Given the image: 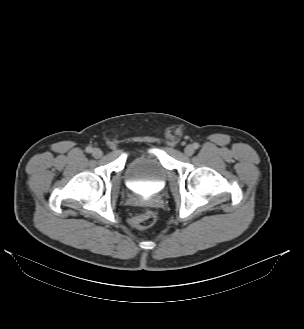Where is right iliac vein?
<instances>
[{
    "label": "right iliac vein",
    "instance_id": "right-iliac-vein-1",
    "mask_svg": "<svg viewBox=\"0 0 304 329\" xmlns=\"http://www.w3.org/2000/svg\"><path fill=\"white\" fill-rule=\"evenodd\" d=\"M102 154H103V152H102V150H100L99 148H94V149L92 150V155H93V157H95V158H100V157L102 156Z\"/></svg>",
    "mask_w": 304,
    "mask_h": 329
}]
</instances>
